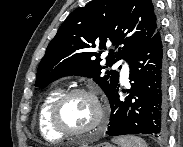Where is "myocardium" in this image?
<instances>
[{
    "label": "myocardium",
    "instance_id": "f54148a6",
    "mask_svg": "<svg viewBox=\"0 0 183 147\" xmlns=\"http://www.w3.org/2000/svg\"><path fill=\"white\" fill-rule=\"evenodd\" d=\"M76 95H84L89 97L92 100L96 111L94 122L90 126L81 130H73L68 128L61 118V111L64 104L67 100ZM105 116L106 113L104 106L94 91L86 88H73L63 92L53 103L50 111V123L57 132L63 135L82 136L94 131L103 122Z\"/></svg>",
    "mask_w": 183,
    "mask_h": 147
}]
</instances>
